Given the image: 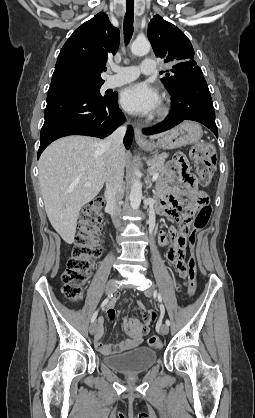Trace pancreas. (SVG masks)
<instances>
[{
	"instance_id": "pancreas-1",
	"label": "pancreas",
	"mask_w": 255,
	"mask_h": 418,
	"mask_svg": "<svg viewBox=\"0 0 255 418\" xmlns=\"http://www.w3.org/2000/svg\"><path fill=\"white\" fill-rule=\"evenodd\" d=\"M167 157V154H160L149 159L147 161L150 166L148 169L149 174L153 175L155 172L161 173L164 170V163Z\"/></svg>"
}]
</instances>
